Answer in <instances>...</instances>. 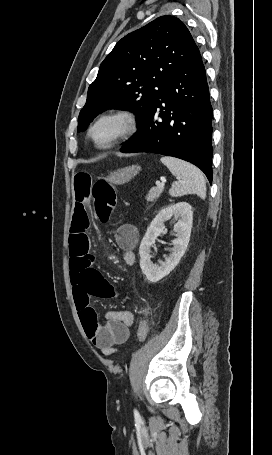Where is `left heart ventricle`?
<instances>
[{
  "label": "left heart ventricle",
  "instance_id": "1",
  "mask_svg": "<svg viewBox=\"0 0 272 455\" xmlns=\"http://www.w3.org/2000/svg\"><path fill=\"white\" fill-rule=\"evenodd\" d=\"M118 130V122L105 121L94 129L93 138L98 144H105L118 133Z\"/></svg>",
  "mask_w": 272,
  "mask_h": 455
}]
</instances>
